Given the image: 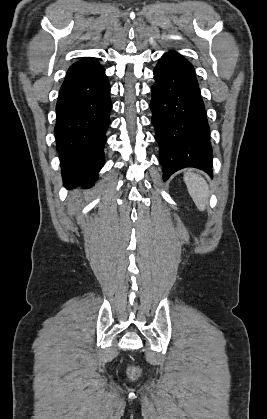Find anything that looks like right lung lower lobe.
<instances>
[{
	"label": "right lung lower lobe",
	"mask_w": 267,
	"mask_h": 419,
	"mask_svg": "<svg viewBox=\"0 0 267 419\" xmlns=\"http://www.w3.org/2000/svg\"><path fill=\"white\" fill-rule=\"evenodd\" d=\"M111 108L109 81L99 62L81 60L70 66L59 91L54 128L65 185H90L97 179Z\"/></svg>",
	"instance_id": "obj_1"
}]
</instances>
